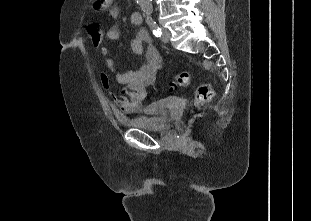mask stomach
<instances>
[{"label": "stomach", "mask_w": 311, "mask_h": 221, "mask_svg": "<svg viewBox=\"0 0 311 221\" xmlns=\"http://www.w3.org/2000/svg\"><path fill=\"white\" fill-rule=\"evenodd\" d=\"M110 0H93V8L95 10H104L106 6H109Z\"/></svg>", "instance_id": "1"}]
</instances>
